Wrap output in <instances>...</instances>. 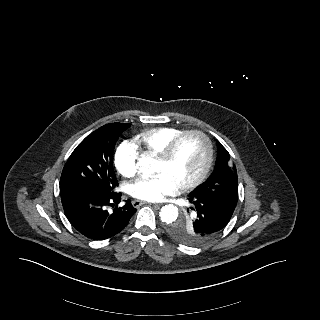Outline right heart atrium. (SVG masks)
<instances>
[{"label":"right heart atrium","mask_w":320,"mask_h":320,"mask_svg":"<svg viewBox=\"0 0 320 320\" xmlns=\"http://www.w3.org/2000/svg\"><path fill=\"white\" fill-rule=\"evenodd\" d=\"M139 152L137 146L129 140L122 141L116 149L114 163L118 172L127 178L135 175Z\"/></svg>","instance_id":"d8ad5b80"}]
</instances>
